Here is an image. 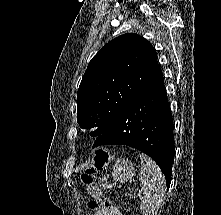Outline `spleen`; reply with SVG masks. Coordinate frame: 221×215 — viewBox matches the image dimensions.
<instances>
[{"label": "spleen", "mask_w": 221, "mask_h": 215, "mask_svg": "<svg viewBox=\"0 0 221 215\" xmlns=\"http://www.w3.org/2000/svg\"><path fill=\"white\" fill-rule=\"evenodd\" d=\"M140 160L139 179L142 191L140 209L143 215H157L165 193V177L159 166L149 156L141 153Z\"/></svg>", "instance_id": "spleen-1"}]
</instances>
